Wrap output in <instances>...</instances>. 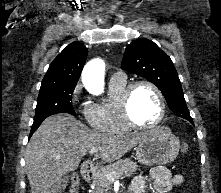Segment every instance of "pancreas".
<instances>
[{
    "instance_id": "cf45deb5",
    "label": "pancreas",
    "mask_w": 221,
    "mask_h": 193,
    "mask_svg": "<svg viewBox=\"0 0 221 193\" xmlns=\"http://www.w3.org/2000/svg\"><path fill=\"white\" fill-rule=\"evenodd\" d=\"M137 168L138 165L135 162L129 158H126L110 164L105 168L97 170L93 174L94 190L92 193H107L111 188V181L105 176L106 173H110L115 179H119L122 177L132 176L137 171ZM121 172L123 173L121 174Z\"/></svg>"
}]
</instances>
